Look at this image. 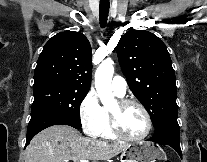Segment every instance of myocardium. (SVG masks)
Instances as JSON below:
<instances>
[{
	"label": "myocardium",
	"instance_id": "obj_1",
	"mask_svg": "<svg viewBox=\"0 0 207 162\" xmlns=\"http://www.w3.org/2000/svg\"><path fill=\"white\" fill-rule=\"evenodd\" d=\"M129 106L138 107L145 116L146 119V129L145 131L138 136H128L124 134L119 126L118 115L121 111L125 110ZM108 117L110 122V127L115 135L120 139L130 140V141H138L146 138L152 130V119L148 109L139 101L133 99H121L116 102V111H108Z\"/></svg>",
	"mask_w": 207,
	"mask_h": 162
}]
</instances>
